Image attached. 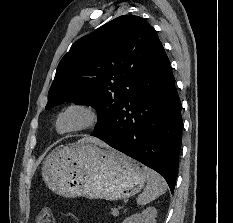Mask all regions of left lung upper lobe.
<instances>
[{"mask_svg": "<svg viewBox=\"0 0 233 223\" xmlns=\"http://www.w3.org/2000/svg\"><path fill=\"white\" fill-rule=\"evenodd\" d=\"M160 41L142 18L120 16L77 40L60 61L46 110L66 101L98 112L94 132L112 121L128 100Z\"/></svg>", "mask_w": 233, "mask_h": 223, "instance_id": "left-lung-upper-lobe-1", "label": "left lung upper lobe"}]
</instances>
